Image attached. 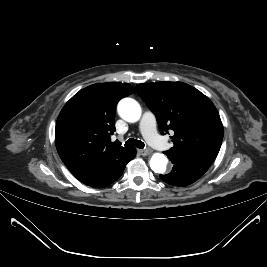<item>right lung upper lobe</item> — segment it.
Listing matches in <instances>:
<instances>
[{"mask_svg":"<svg viewBox=\"0 0 267 267\" xmlns=\"http://www.w3.org/2000/svg\"><path fill=\"white\" fill-rule=\"evenodd\" d=\"M135 89L127 83H98L76 93L61 110L55 128L58 154L70 172L89 184L128 157L133 148L111 142L119 100Z\"/></svg>","mask_w":267,"mask_h":267,"instance_id":"obj_1","label":"right lung upper lobe"}]
</instances>
